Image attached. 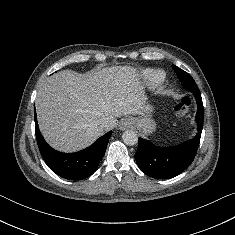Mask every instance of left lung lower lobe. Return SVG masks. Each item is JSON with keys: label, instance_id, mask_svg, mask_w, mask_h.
Instances as JSON below:
<instances>
[{"label": "left lung lower lobe", "instance_id": "1", "mask_svg": "<svg viewBox=\"0 0 235 235\" xmlns=\"http://www.w3.org/2000/svg\"><path fill=\"white\" fill-rule=\"evenodd\" d=\"M183 87L192 92L197 101V135L174 147H157L139 138L135 159L139 168L148 176L156 179H170L183 172L194 160L203 129V103L200 90H195L186 80Z\"/></svg>", "mask_w": 235, "mask_h": 235}]
</instances>
